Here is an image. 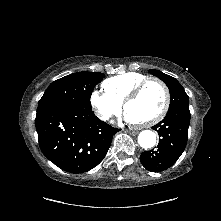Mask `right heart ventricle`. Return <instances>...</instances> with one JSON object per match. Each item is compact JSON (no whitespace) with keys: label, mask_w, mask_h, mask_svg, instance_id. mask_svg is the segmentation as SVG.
<instances>
[{"label":"right heart ventricle","mask_w":221,"mask_h":221,"mask_svg":"<svg viewBox=\"0 0 221 221\" xmlns=\"http://www.w3.org/2000/svg\"><path fill=\"white\" fill-rule=\"evenodd\" d=\"M148 77L138 72L122 73L103 81L105 93L113 100L122 104L128 94Z\"/></svg>","instance_id":"e07e8e85"}]
</instances>
